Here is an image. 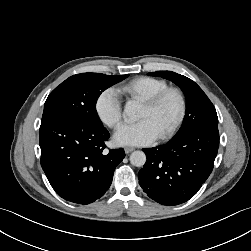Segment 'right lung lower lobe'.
Listing matches in <instances>:
<instances>
[{
    "label": "right lung lower lobe",
    "mask_w": 251,
    "mask_h": 251,
    "mask_svg": "<svg viewBox=\"0 0 251 251\" xmlns=\"http://www.w3.org/2000/svg\"><path fill=\"white\" fill-rule=\"evenodd\" d=\"M109 137L105 127L71 117L41 122V166L60 197L86 205L107 191L125 157L123 149L104 151Z\"/></svg>",
    "instance_id": "obj_1"
}]
</instances>
